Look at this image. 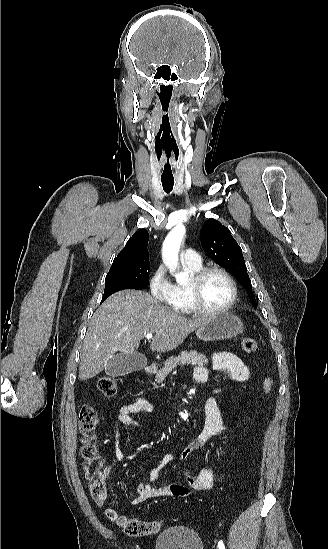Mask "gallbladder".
Returning <instances> with one entry per match:
<instances>
[{"label": "gallbladder", "instance_id": "obj_1", "mask_svg": "<svg viewBox=\"0 0 328 549\" xmlns=\"http://www.w3.org/2000/svg\"><path fill=\"white\" fill-rule=\"evenodd\" d=\"M147 365V359L141 353H134V355H113L106 363L104 369L106 375L109 377H124L129 373H135V371H141Z\"/></svg>", "mask_w": 328, "mask_h": 549}]
</instances>
